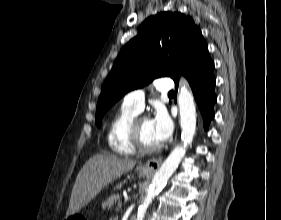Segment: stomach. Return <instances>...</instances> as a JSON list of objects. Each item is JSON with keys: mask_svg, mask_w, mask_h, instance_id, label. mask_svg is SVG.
Segmentation results:
<instances>
[{"mask_svg": "<svg viewBox=\"0 0 281 220\" xmlns=\"http://www.w3.org/2000/svg\"><path fill=\"white\" fill-rule=\"evenodd\" d=\"M139 173V176H142V177H150L151 176V172L146 170L145 168L141 167L138 171ZM80 215L78 214H73V215H70L66 218V220H79V219H82V218H79Z\"/></svg>", "mask_w": 281, "mask_h": 220, "instance_id": "obj_1", "label": "stomach"}]
</instances>
